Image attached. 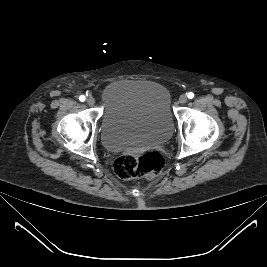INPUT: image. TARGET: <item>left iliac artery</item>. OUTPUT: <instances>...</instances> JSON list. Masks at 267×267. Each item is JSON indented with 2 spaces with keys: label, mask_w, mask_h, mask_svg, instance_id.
<instances>
[{
  "label": "left iliac artery",
  "mask_w": 267,
  "mask_h": 267,
  "mask_svg": "<svg viewBox=\"0 0 267 267\" xmlns=\"http://www.w3.org/2000/svg\"><path fill=\"white\" fill-rule=\"evenodd\" d=\"M194 97V94L192 92L188 93V98L192 99Z\"/></svg>",
  "instance_id": "44dca946"
}]
</instances>
